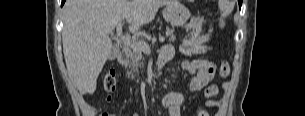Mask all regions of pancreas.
<instances>
[{"instance_id": "obj_1", "label": "pancreas", "mask_w": 305, "mask_h": 116, "mask_svg": "<svg viewBox=\"0 0 305 116\" xmlns=\"http://www.w3.org/2000/svg\"><path fill=\"white\" fill-rule=\"evenodd\" d=\"M166 37L169 41L174 42L176 40V36L174 35V30L167 28L166 29ZM128 56L130 62L128 63L129 67H131L132 78H134V74L139 73V67H143V55L142 51L138 49H131L128 52Z\"/></svg>"}]
</instances>
